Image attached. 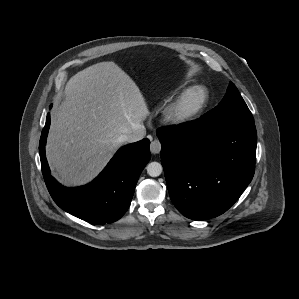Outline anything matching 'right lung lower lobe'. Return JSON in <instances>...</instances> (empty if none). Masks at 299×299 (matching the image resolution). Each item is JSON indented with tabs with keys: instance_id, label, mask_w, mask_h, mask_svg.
Segmentation results:
<instances>
[{
	"instance_id": "98d812e1",
	"label": "right lung lower lobe",
	"mask_w": 299,
	"mask_h": 299,
	"mask_svg": "<svg viewBox=\"0 0 299 299\" xmlns=\"http://www.w3.org/2000/svg\"><path fill=\"white\" fill-rule=\"evenodd\" d=\"M49 126L48 113L39 142V154L42 174L55 203L90 223L105 224L120 219L129 208L138 178L150 160V141L145 138L122 147L91 183L66 188L51 176L46 160L44 146Z\"/></svg>"
}]
</instances>
